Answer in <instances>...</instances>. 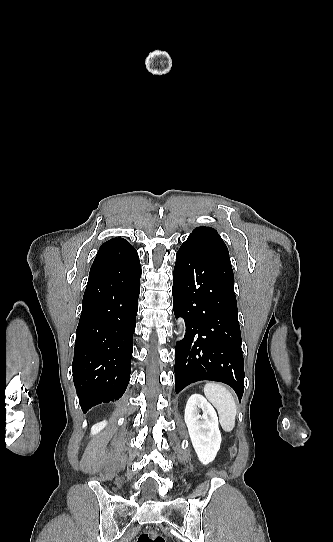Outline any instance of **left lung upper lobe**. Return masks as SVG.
I'll return each instance as SVG.
<instances>
[{
    "label": "left lung upper lobe",
    "mask_w": 333,
    "mask_h": 542,
    "mask_svg": "<svg viewBox=\"0 0 333 542\" xmlns=\"http://www.w3.org/2000/svg\"><path fill=\"white\" fill-rule=\"evenodd\" d=\"M186 241L198 245L207 253L222 257L230 262L229 251L217 231L211 227H197L189 235Z\"/></svg>",
    "instance_id": "5c2ea615"
}]
</instances>
